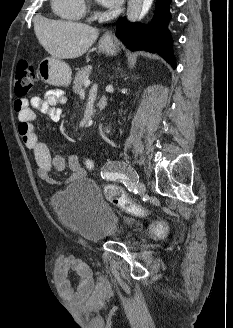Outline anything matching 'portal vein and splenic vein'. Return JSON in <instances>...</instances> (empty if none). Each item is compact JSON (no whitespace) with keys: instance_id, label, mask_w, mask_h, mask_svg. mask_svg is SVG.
<instances>
[{"instance_id":"obj_1","label":"portal vein and splenic vein","mask_w":233,"mask_h":328,"mask_svg":"<svg viewBox=\"0 0 233 328\" xmlns=\"http://www.w3.org/2000/svg\"><path fill=\"white\" fill-rule=\"evenodd\" d=\"M83 85H84V87L89 86L90 85V80L89 79L85 80Z\"/></svg>"}]
</instances>
